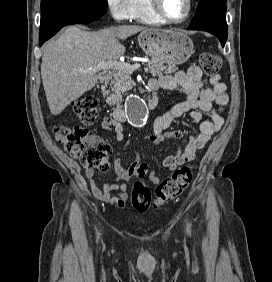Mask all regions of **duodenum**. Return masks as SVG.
<instances>
[{
	"label": "duodenum",
	"mask_w": 272,
	"mask_h": 282,
	"mask_svg": "<svg viewBox=\"0 0 272 282\" xmlns=\"http://www.w3.org/2000/svg\"><path fill=\"white\" fill-rule=\"evenodd\" d=\"M113 72L111 70L104 71L100 75V80L103 82L109 81L112 77ZM148 87L149 91L151 93V99L148 101L147 106L150 109H154L157 107L159 103V98H158V90H159V85H158V80L157 79H150L148 82ZM111 116L114 120H123L125 117L123 108H122V103H119L118 105L114 106L111 112Z\"/></svg>",
	"instance_id": "1"
}]
</instances>
